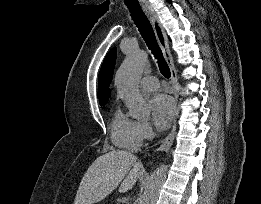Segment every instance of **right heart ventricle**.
Returning a JSON list of instances; mask_svg holds the SVG:
<instances>
[{
    "label": "right heart ventricle",
    "instance_id": "e07e8e85",
    "mask_svg": "<svg viewBox=\"0 0 261 204\" xmlns=\"http://www.w3.org/2000/svg\"><path fill=\"white\" fill-rule=\"evenodd\" d=\"M110 128L112 142L117 147L133 151L141 145L139 122L126 116L120 108L115 110Z\"/></svg>",
    "mask_w": 261,
    "mask_h": 204
}]
</instances>
